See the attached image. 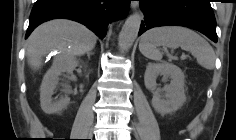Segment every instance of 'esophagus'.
I'll use <instances>...</instances> for the list:
<instances>
[{
    "mask_svg": "<svg viewBox=\"0 0 236 140\" xmlns=\"http://www.w3.org/2000/svg\"><path fill=\"white\" fill-rule=\"evenodd\" d=\"M137 5H138L137 1H131V8L132 9H136Z\"/></svg>",
    "mask_w": 236,
    "mask_h": 140,
    "instance_id": "esophagus-1",
    "label": "esophagus"
}]
</instances>
